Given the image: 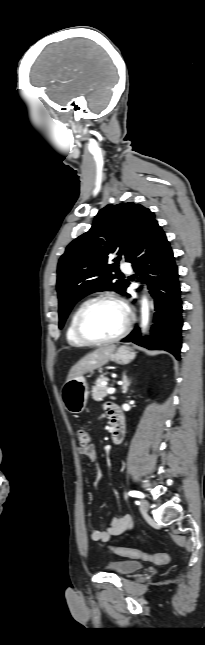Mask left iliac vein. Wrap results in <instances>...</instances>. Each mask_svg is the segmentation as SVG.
<instances>
[{"instance_id": "left-iliac-vein-1", "label": "left iliac vein", "mask_w": 205, "mask_h": 645, "mask_svg": "<svg viewBox=\"0 0 205 645\" xmlns=\"http://www.w3.org/2000/svg\"><path fill=\"white\" fill-rule=\"evenodd\" d=\"M139 509L141 513L146 514L149 509V502L145 499H141Z\"/></svg>"}]
</instances>
